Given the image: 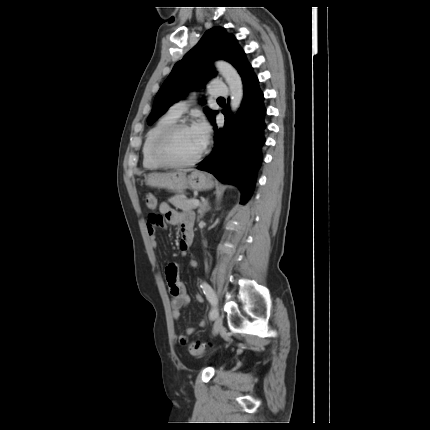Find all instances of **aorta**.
Masks as SVG:
<instances>
[{
    "label": "aorta",
    "instance_id": "1",
    "mask_svg": "<svg viewBox=\"0 0 430 430\" xmlns=\"http://www.w3.org/2000/svg\"><path fill=\"white\" fill-rule=\"evenodd\" d=\"M216 68L230 88L231 109H238L243 98V84L240 75L232 65L225 61H218Z\"/></svg>",
    "mask_w": 430,
    "mask_h": 430
}]
</instances>
